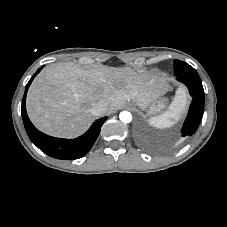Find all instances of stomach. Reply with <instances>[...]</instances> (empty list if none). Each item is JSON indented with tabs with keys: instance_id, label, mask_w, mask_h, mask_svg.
<instances>
[{
	"instance_id": "obj_1",
	"label": "stomach",
	"mask_w": 227,
	"mask_h": 227,
	"mask_svg": "<svg viewBox=\"0 0 227 227\" xmlns=\"http://www.w3.org/2000/svg\"><path fill=\"white\" fill-rule=\"evenodd\" d=\"M129 103L132 106H138L141 110L145 111L147 115H155L157 113L162 112L165 109L167 99L159 97L147 105H141L133 100L132 102Z\"/></svg>"
}]
</instances>
